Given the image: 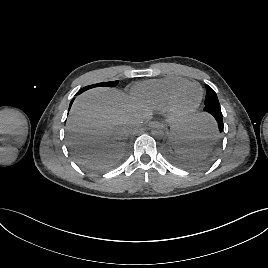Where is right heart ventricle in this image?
I'll list each match as a JSON object with an SVG mask.
<instances>
[{"instance_id": "obj_1", "label": "right heart ventricle", "mask_w": 268, "mask_h": 268, "mask_svg": "<svg viewBox=\"0 0 268 268\" xmlns=\"http://www.w3.org/2000/svg\"><path fill=\"white\" fill-rule=\"evenodd\" d=\"M189 83L180 77H167L138 83L133 88L137 101L150 108H163L168 104L172 93L182 85Z\"/></svg>"}]
</instances>
